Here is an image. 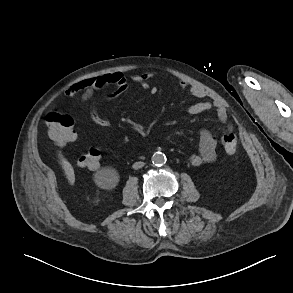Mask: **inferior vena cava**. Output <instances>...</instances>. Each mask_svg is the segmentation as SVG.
I'll use <instances>...</instances> for the list:
<instances>
[{"label": "inferior vena cava", "mask_w": 293, "mask_h": 293, "mask_svg": "<svg viewBox=\"0 0 293 293\" xmlns=\"http://www.w3.org/2000/svg\"><path fill=\"white\" fill-rule=\"evenodd\" d=\"M144 165H145L144 162H135L132 167H133V169L137 170V169L142 168Z\"/></svg>", "instance_id": "obj_1"}]
</instances>
